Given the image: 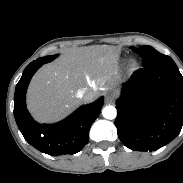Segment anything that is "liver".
Instances as JSON below:
<instances>
[{
	"instance_id": "liver-1",
	"label": "liver",
	"mask_w": 183,
	"mask_h": 183,
	"mask_svg": "<svg viewBox=\"0 0 183 183\" xmlns=\"http://www.w3.org/2000/svg\"><path fill=\"white\" fill-rule=\"evenodd\" d=\"M117 70L118 54L111 47L70 50L34 75L27 93L28 109L39 121L61 119L79 104V90L89 88L98 96L106 81L114 84Z\"/></svg>"
}]
</instances>
